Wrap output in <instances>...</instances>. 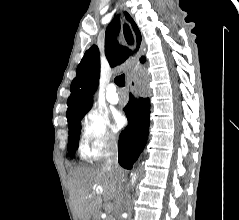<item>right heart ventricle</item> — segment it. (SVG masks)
Wrapping results in <instances>:
<instances>
[{"label":"right heart ventricle","mask_w":239,"mask_h":220,"mask_svg":"<svg viewBox=\"0 0 239 220\" xmlns=\"http://www.w3.org/2000/svg\"><path fill=\"white\" fill-rule=\"evenodd\" d=\"M82 155L85 156L84 152L82 151Z\"/></svg>","instance_id":"right-heart-ventricle-1"}]
</instances>
